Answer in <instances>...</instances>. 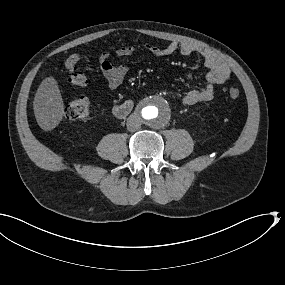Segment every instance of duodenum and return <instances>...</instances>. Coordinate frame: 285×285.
Masks as SVG:
<instances>
[{
  "mask_svg": "<svg viewBox=\"0 0 285 285\" xmlns=\"http://www.w3.org/2000/svg\"><path fill=\"white\" fill-rule=\"evenodd\" d=\"M132 108H133L132 101H126L119 105L114 106L113 113L115 116L119 118H124L131 112Z\"/></svg>",
  "mask_w": 285,
  "mask_h": 285,
  "instance_id": "410a0bca",
  "label": "duodenum"
}]
</instances>
